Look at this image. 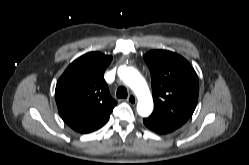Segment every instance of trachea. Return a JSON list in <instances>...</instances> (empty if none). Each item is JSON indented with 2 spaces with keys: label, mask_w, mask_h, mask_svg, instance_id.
<instances>
[{
  "label": "trachea",
  "mask_w": 249,
  "mask_h": 165,
  "mask_svg": "<svg viewBox=\"0 0 249 165\" xmlns=\"http://www.w3.org/2000/svg\"><path fill=\"white\" fill-rule=\"evenodd\" d=\"M127 89L123 86L119 87L116 92L117 98H127Z\"/></svg>",
  "instance_id": "3493384b"
}]
</instances>
